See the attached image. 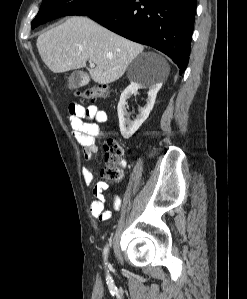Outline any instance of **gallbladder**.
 Returning a JSON list of instances; mask_svg holds the SVG:
<instances>
[{"instance_id": "gallbladder-1", "label": "gallbladder", "mask_w": 247, "mask_h": 299, "mask_svg": "<svg viewBox=\"0 0 247 299\" xmlns=\"http://www.w3.org/2000/svg\"><path fill=\"white\" fill-rule=\"evenodd\" d=\"M67 80L68 87L70 89H78L79 87L88 83L89 77L86 75V73L75 70L67 77Z\"/></svg>"}]
</instances>
